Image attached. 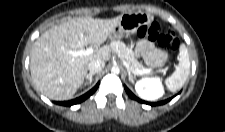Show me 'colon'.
<instances>
[{
	"label": "colon",
	"mask_w": 225,
	"mask_h": 132,
	"mask_svg": "<svg viewBox=\"0 0 225 132\" xmlns=\"http://www.w3.org/2000/svg\"><path fill=\"white\" fill-rule=\"evenodd\" d=\"M138 36L149 41H156L160 46L170 52L177 51L179 40L172 30H167L163 33L159 32V25L156 22H150L141 26L138 30Z\"/></svg>",
	"instance_id": "obj_1"
}]
</instances>
